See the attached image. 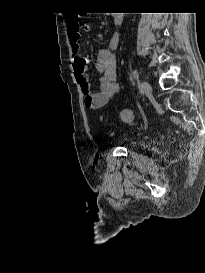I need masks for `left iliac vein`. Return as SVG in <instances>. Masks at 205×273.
<instances>
[{"mask_svg":"<svg viewBox=\"0 0 205 273\" xmlns=\"http://www.w3.org/2000/svg\"><path fill=\"white\" fill-rule=\"evenodd\" d=\"M141 87H142L143 93H144L145 95L150 94L151 91H152V87H151V85L149 84V82H147V81H142Z\"/></svg>","mask_w":205,"mask_h":273,"instance_id":"4c4485c4","label":"left iliac vein"}]
</instances>
